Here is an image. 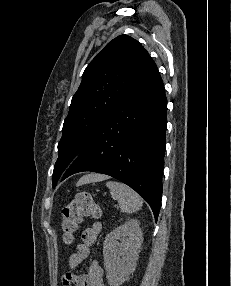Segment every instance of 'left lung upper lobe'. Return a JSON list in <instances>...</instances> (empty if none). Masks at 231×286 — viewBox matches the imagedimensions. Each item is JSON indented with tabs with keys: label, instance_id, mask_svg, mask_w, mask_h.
I'll list each match as a JSON object with an SVG mask.
<instances>
[{
	"label": "left lung upper lobe",
	"instance_id": "obj_1",
	"mask_svg": "<svg viewBox=\"0 0 231 286\" xmlns=\"http://www.w3.org/2000/svg\"><path fill=\"white\" fill-rule=\"evenodd\" d=\"M155 68L148 52L127 35L114 38L89 63L63 124L53 187L94 129Z\"/></svg>",
	"mask_w": 231,
	"mask_h": 286
}]
</instances>
